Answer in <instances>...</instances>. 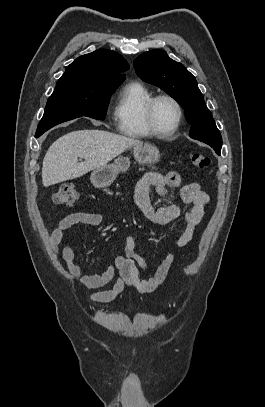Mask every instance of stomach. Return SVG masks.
<instances>
[{
	"mask_svg": "<svg viewBox=\"0 0 265 407\" xmlns=\"http://www.w3.org/2000/svg\"><path fill=\"white\" fill-rule=\"evenodd\" d=\"M135 160L142 165H151L159 161V150L152 144L142 143L133 147ZM130 166L128 157L119 156L114 163L104 165L91 173V183L97 188L110 186L120 172H126Z\"/></svg>",
	"mask_w": 265,
	"mask_h": 407,
	"instance_id": "stomach-1",
	"label": "stomach"
}]
</instances>
